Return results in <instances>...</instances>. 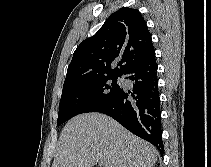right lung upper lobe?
Here are the masks:
<instances>
[{
    "instance_id": "obj_1",
    "label": "right lung upper lobe",
    "mask_w": 211,
    "mask_h": 167,
    "mask_svg": "<svg viewBox=\"0 0 211 167\" xmlns=\"http://www.w3.org/2000/svg\"><path fill=\"white\" fill-rule=\"evenodd\" d=\"M153 56L151 34L141 13L123 7L77 47L63 87L98 77L122 76Z\"/></svg>"
}]
</instances>
